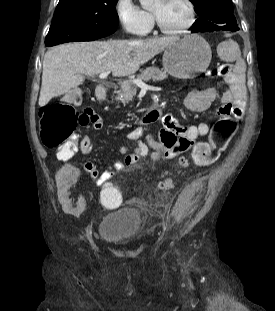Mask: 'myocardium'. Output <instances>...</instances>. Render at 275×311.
<instances>
[{"instance_id": "myocardium-1", "label": "myocardium", "mask_w": 275, "mask_h": 311, "mask_svg": "<svg viewBox=\"0 0 275 311\" xmlns=\"http://www.w3.org/2000/svg\"><path fill=\"white\" fill-rule=\"evenodd\" d=\"M183 1L186 3V5L188 7L189 19L183 26L176 28V29L166 28L161 23V21L159 20L157 15L153 11H151V15H152V18L154 20V23L161 33L166 34V35H176V34L184 33L192 27V25L194 24V22L196 20V8L194 5V2H193V0H183Z\"/></svg>"}]
</instances>
